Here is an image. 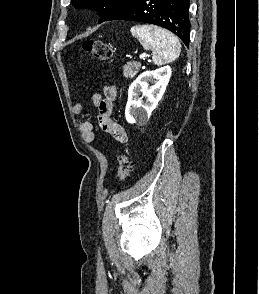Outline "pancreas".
I'll return each mask as SVG.
<instances>
[{
	"label": "pancreas",
	"mask_w": 259,
	"mask_h": 294,
	"mask_svg": "<svg viewBox=\"0 0 259 294\" xmlns=\"http://www.w3.org/2000/svg\"><path fill=\"white\" fill-rule=\"evenodd\" d=\"M141 64L139 62L130 61L123 67V74L126 78H133L140 69Z\"/></svg>",
	"instance_id": "1"
}]
</instances>
